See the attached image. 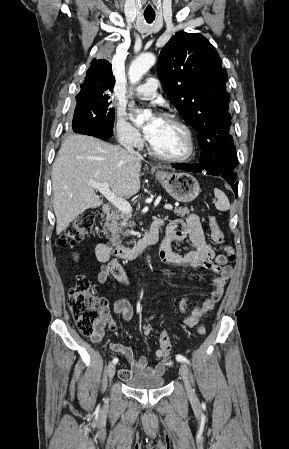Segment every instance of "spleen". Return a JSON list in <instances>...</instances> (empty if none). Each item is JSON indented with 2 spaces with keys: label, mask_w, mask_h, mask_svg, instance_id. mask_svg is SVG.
Listing matches in <instances>:
<instances>
[{
  "label": "spleen",
  "mask_w": 289,
  "mask_h": 449,
  "mask_svg": "<svg viewBox=\"0 0 289 449\" xmlns=\"http://www.w3.org/2000/svg\"><path fill=\"white\" fill-rule=\"evenodd\" d=\"M215 197L217 198L216 208L220 211H227L230 209V203L223 191L218 188L214 189Z\"/></svg>",
  "instance_id": "spleen-1"
}]
</instances>
